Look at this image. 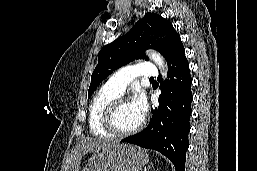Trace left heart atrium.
<instances>
[{"label": "left heart atrium", "instance_id": "obj_1", "mask_svg": "<svg viewBox=\"0 0 257 171\" xmlns=\"http://www.w3.org/2000/svg\"><path fill=\"white\" fill-rule=\"evenodd\" d=\"M131 106L133 109L136 111V113L143 119L147 113L148 105H147V100L145 95L137 91L131 101H130Z\"/></svg>", "mask_w": 257, "mask_h": 171}]
</instances>
